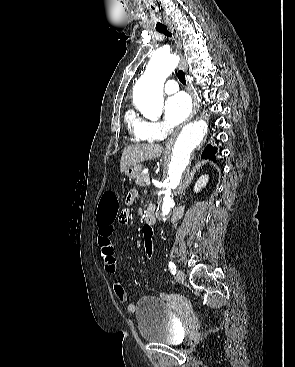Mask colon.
I'll use <instances>...</instances> for the list:
<instances>
[{"label": "colon", "instance_id": "obj_1", "mask_svg": "<svg viewBox=\"0 0 295 367\" xmlns=\"http://www.w3.org/2000/svg\"><path fill=\"white\" fill-rule=\"evenodd\" d=\"M127 201V200H126ZM129 201V199H128ZM128 203V202H127ZM120 212L119 202L117 196L113 192H105L99 203V217L101 221L117 220L118 213ZM128 217V215H127ZM140 239L142 245L145 247L147 255L150 257L154 249V229L152 224H141Z\"/></svg>", "mask_w": 295, "mask_h": 367}]
</instances>
